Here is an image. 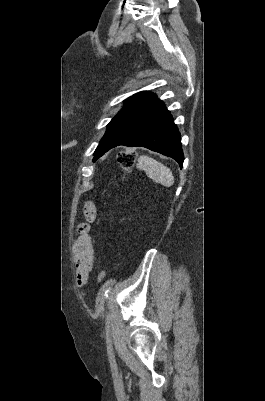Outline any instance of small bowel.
I'll use <instances>...</instances> for the list:
<instances>
[{"mask_svg":"<svg viewBox=\"0 0 265 401\" xmlns=\"http://www.w3.org/2000/svg\"><path fill=\"white\" fill-rule=\"evenodd\" d=\"M85 221L78 224V238L74 245L75 268L77 283L83 286L88 282L94 263V247L90 236L92 224L97 218V205L94 201H86L83 206Z\"/></svg>","mask_w":265,"mask_h":401,"instance_id":"obj_1","label":"small bowel"}]
</instances>
